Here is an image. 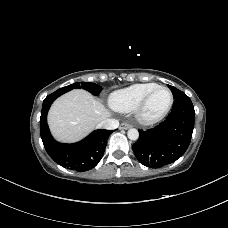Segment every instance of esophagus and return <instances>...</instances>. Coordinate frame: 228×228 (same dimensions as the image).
Here are the masks:
<instances>
[{"instance_id": "1", "label": "esophagus", "mask_w": 228, "mask_h": 228, "mask_svg": "<svg viewBox=\"0 0 228 228\" xmlns=\"http://www.w3.org/2000/svg\"><path fill=\"white\" fill-rule=\"evenodd\" d=\"M129 128H131V125L128 124V123H122V124L120 125V129L126 130V129H129Z\"/></svg>"}]
</instances>
